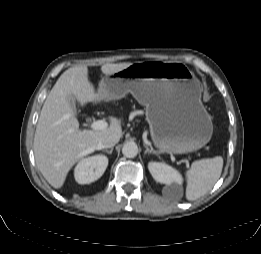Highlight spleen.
Listing matches in <instances>:
<instances>
[{"instance_id":"spleen-1","label":"spleen","mask_w":261,"mask_h":254,"mask_svg":"<svg viewBox=\"0 0 261 254\" xmlns=\"http://www.w3.org/2000/svg\"><path fill=\"white\" fill-rule=\"evenodd\" d=\"M223 158L216 156L194 161L186 172V198L194 201L210 191L221 176Z\"/></svg>"}]
</instances>
